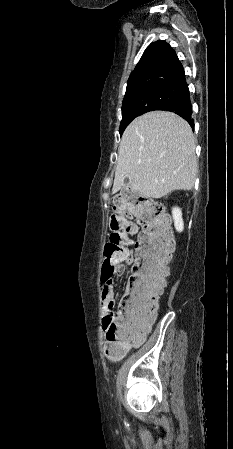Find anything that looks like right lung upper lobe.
<instances>
[{
    "label": "right lung upper lobe",
    "instance_id": "1",
    "mask_svg": "<svg viewBox=\"0 0 233 449\" xmlns=\"http://www.w3.org/2000/svg\"><path fill=\"white\" fill-rule=\"evenodd\" d=\"M186 85L184 69L175 51L165 41L159 40L144 51L128 79L125 96L153 87L182 90Z\"/></svg>",
    "mask_w": 233,
    "mask_h": 449
}]
</instances>
